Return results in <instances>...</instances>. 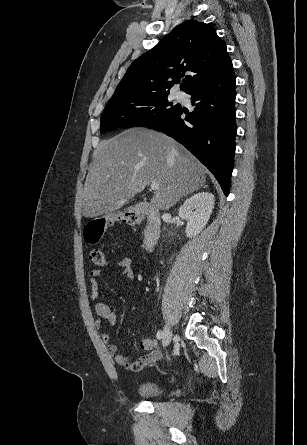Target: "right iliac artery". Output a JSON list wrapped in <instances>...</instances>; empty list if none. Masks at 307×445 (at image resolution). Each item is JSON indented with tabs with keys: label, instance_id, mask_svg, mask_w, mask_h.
Masks as SVG:
<instances>
[{
	"label": "right iliac artery",
	"instance_id": "1",
	"mask_svg": "<svg viewBox=\"0 0 307 445\" xmlns=\"http://www.w3.org/2000/svg\"><path fill=\"white\" fill-rule=\"evenodd\" d=\"M162 335H163V332L161 330L158 331L157 334H156L157 339H161Z\"/></svg>",
	"mask_w": 307,
	"mask_h": 445
}]
</instances>
